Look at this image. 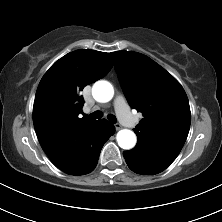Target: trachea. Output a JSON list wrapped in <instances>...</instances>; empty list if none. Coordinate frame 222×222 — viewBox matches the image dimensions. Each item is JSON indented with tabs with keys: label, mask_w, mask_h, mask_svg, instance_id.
Masks as SVG:
<instances>
[{
	"label": "trachea",
	"mask_w": 222,
	"mask_h": 222,
	"mask_svg": "<svg viewBox=\"0 0 222 222\" xmlns=\"http://www.w3.org/2000/svg\"><path fill=\"white\" fill-rule=\"evenodd\" d=\"M102 116H103V113L101 111H95V112L91 113L90 115H86L85 114V117L93 118V119H100V118H102ZM107 118L112 123H116L117 122L116 117L114 115H112V114H109L107 116Z\"/></svg>",
	"instance_id": "trachea-1"
}]
</instances>
